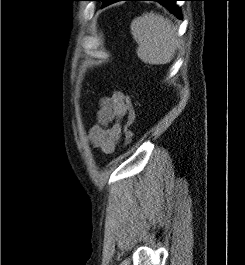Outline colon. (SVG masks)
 I'll return each instance as SVG.
<instances>
[{"instance_id": "colon-1", "label": "colon", "mask_w": 245, "mask_h": 265, "mask_svg": "<svg viewBox=\"0 0 245 265\" xmlns=\"http://www.w3.org/2000/svg\"><path fill=\"white\" fill-rule=\"evenodd\" d=\"M125 103L128 107V116L126 122L122 125L121 132L123 134L124 144L126 146L130 145L134 138V133L131 130V125L135 119V110L131 98L128 95H125Z\"/></svg>"}]
</instances>
